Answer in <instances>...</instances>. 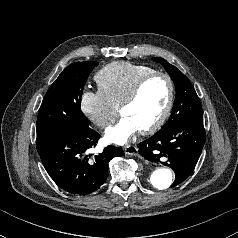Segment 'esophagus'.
<instances>
[{
	"label": "esophagus",
	"instance_id": "esophagus-1",
	"mask_svg": "<svg viewBox=\"0 0 238 238\" xmlns=\"http://www.w3.org/2000/svg\"><path fill=\"white\" fill-rule=\"evenodd\" d=\"M124 151L127 155L136 156L137 152H138V149L134 145H128L124 148Z\"/></svg>",
	"mask_w": 238,
	"mask_h": 238
}]
</instances>
